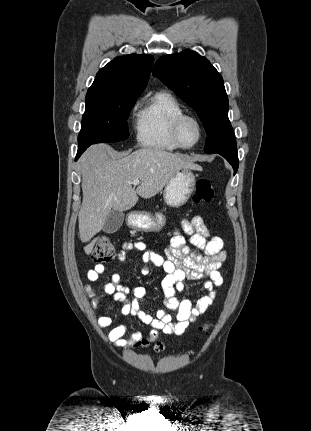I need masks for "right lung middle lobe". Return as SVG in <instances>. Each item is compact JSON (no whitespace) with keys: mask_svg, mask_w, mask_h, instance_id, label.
<instances>
[{"mask_svg":"<svg viewBox=\"0 0 311 431\" xmlns=\"http://www.w3.org/2000/svg\"><path fill=\"white\" fill-rule=\"evenodd\" d=\"M139 96L86 94L78 147L125 140L129 136L127 119Z\"/></svg>","mask_w":311,"mask_h":431,"instance_id":"right-lung-middle-lobe-1","label":"right lung middle lobe"}]
</instances>
